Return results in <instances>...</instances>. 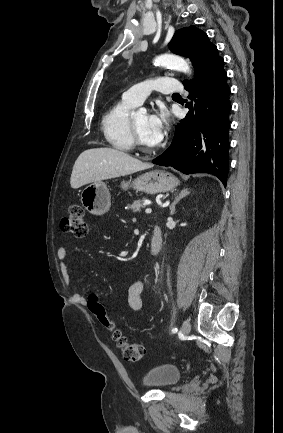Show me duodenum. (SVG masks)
Segmentation results:
<instances>
[{"label":"duodenum","instance_id":"1","mask_svg":"<svg viewBox=\"0 0 283 433\" xmlns=\"http://www.w3.org/2000/svg\"><path fill=\"white\" fill-rule=\"evenodd\" d=\"M163 237L162 231L159 226H154L152 228L151 235V253L153 256H158L162 250Z\"/></svg>","mask_w":283,"mask_h":433}]
</instances>
